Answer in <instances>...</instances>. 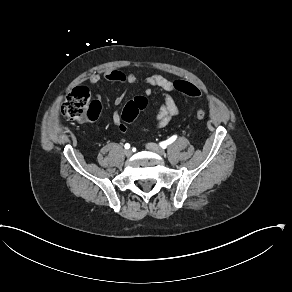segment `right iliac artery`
I'll return each instance as SVG.
<instances>
[{
    "label": "right iliac artery",
    "mask_w": 292,
    "mask_h": 292,
    "mask_svg": "<svg viewBox=\"0 0 292 292\" xmlns=\"http://www.w3.org/2000/svg\"><path fill=\"white\" fill-rule=\"evenodd\" d=\"M124 147H125V149H129V148H130V144H129V143H126V144L124 145Z\"/></svg>",
    "instance_id": "obj_1"
}]
</instances>
